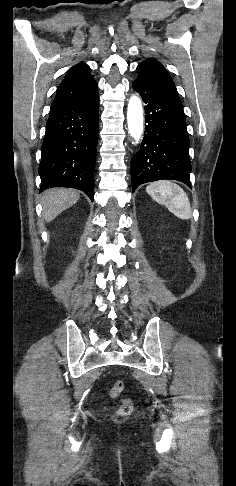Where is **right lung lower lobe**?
I'll return each mask as SVG.
<instances>
[{
    "label": "right lung lower lobe",
    "instance_id": "right-lung-lower-lobe-1",
    "mask_svg": "<svg viewBox=\"0 0 236 486\" xmlns=\"http://www.w3.org/2000/svg\"><path fill=\"white\" fill-rule=\"evenodd\" d=\"M98 114V93L51 107L41 149L40 192L51 187L76 188L93 201Z\"/></svg>",
    "mask_w": 236,
    "mask_h": 486
}]
</instances>
